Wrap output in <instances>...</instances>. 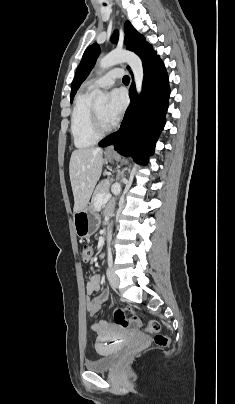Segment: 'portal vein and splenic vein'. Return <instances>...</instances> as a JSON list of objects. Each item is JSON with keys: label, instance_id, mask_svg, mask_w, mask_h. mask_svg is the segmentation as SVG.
<instances>
[{"label": "portal vein and splenic vein", "instance_id": "portal-vein-and-splenic-vein-1", "mask_svg": "<svg viewBox=\"0 0 235 404\" xmlns=\"http://www.w3.org/2000/svg\"><path fill=\"white\" fill-rule=\"evenodd\" d=\"M110 198H111V194H110V193H107V194H105V193L98 194L97 197H96V203H97L98 205L105 204Z\"/></svg>", "mask_w": 235, "mask_h": 404}]
</instances>
